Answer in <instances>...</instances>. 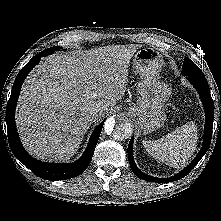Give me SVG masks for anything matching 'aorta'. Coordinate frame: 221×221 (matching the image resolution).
Wrapping results in <instances>:
<instances>
[{
	"label": "aorta",
	"instance_id": "aorta-1",
	"mask_svg": "<svg viewBox=\"0 0 221 221\" xmlns=\"http://www.w3.org/2000/svg\"><path fill=\"white\" fill-rule=\"evenodd\" d=\"M104 130L108 136L122 141L131 136L132 124L126 116H112L105 121Z\"/></svg>",
	"mask_w": 221,
	"mask_h": 221
}]
</instances>
